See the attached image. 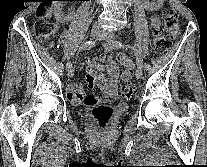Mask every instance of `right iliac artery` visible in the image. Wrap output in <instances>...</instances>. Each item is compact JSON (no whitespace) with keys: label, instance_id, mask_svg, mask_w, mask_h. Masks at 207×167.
Returning a JSON list of instances; mask_svg holds the SVG:
<instances>
[{"label":"right iliac artery","instance_id":"right-iliac-artery-1","mask_svg":"<svg viewBox=\"0 0 207 167\" xmlns=\"http://www.w3.org/2000/svg\"><path fill=\"white\" fill-rule=\"evenodd\" d=\"M97 41H87L85 42L80 48L79 51L81 50H90L92 47L96 45ZM72 66L71 62H68L66 64L67 69Z\"/></svg>","mask_w":207,"mask_h":167}]
</instances>
